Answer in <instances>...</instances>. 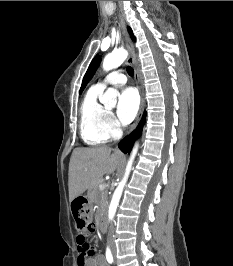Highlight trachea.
I'll use <instances>...</instances> for the list:
<instances>
[{
	"mask_svg": "<svg viewBox=\"0 0 233 266\" xmlns=\"http://www.w3.org/2000/svg\"><path fill=\"white\" fill-rule=\"evenodd\" d=\"M127 72L130 76H133L134 75V70L131 66H127Z\"/></svg>",
	"mask_w": 233,
	"mask_h": 266,
	"instance_id": "1",
	"label": "trachea"
}]
</instances>
